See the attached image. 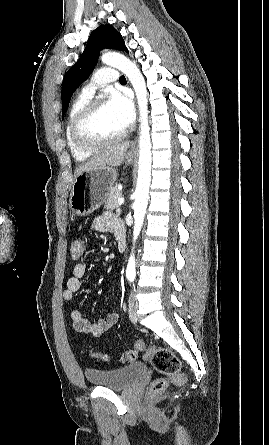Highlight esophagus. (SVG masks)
Instances as JSON below:
<instances>
[{
	"label": "esophagus",
	"instance_id": "1",
	"mask_svg": "<svg viewBox=\"0 0 269 445\" xmlns=\"http://www.w3.org/2000/svg\"><path fill=\"white\" fill-rule=\"evenodd\" d=\"M137 142H138V137H136V139L132 145V150H134L137 147Z\"/></svg>",
	"mask_w": 269,
	"mask_h": 445
}]
</instances>
